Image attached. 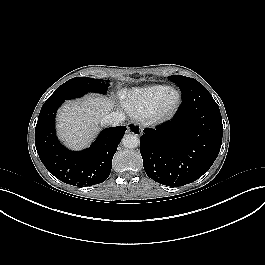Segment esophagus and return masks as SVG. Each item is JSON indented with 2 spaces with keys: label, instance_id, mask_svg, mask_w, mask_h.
Wrapping results in <instances>:
<instances>
[{
  "label": "esophagus",
  "instance_id": "obj_1",
  "mask_svg": "<svg viewBox=\"0 0 265 265\" xmlns=\"http://www.w3.org/2000/svg\"><path fill=\"white\" fill-rule=\"evenodd\" d=\"M127 132L138 135L142 133V127L138 123H129Z\"/></svg>",
  "mask_w": 265,
  "mask_h": 265
}]
</instances>
